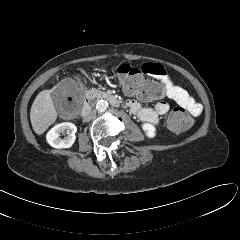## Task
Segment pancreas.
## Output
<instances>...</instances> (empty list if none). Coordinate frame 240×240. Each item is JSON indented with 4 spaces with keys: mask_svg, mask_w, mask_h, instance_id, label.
Here are the masks:
<instances>
[{
    "mask_svg": "<svg viewBox=\"0 0 240 240\" xmlns=\"http://www.w3.org/2000/svg\"><path fill=\"white\" fill-rule=\"evenodd\" d=\"M101 92L98 91L97 89H91V90H88L86 93H85V96L86 98H92L94 96H97L99 95Z\"/></svg>",
    "mask_w": 240,
    "mask_h": 240,
    "instance_id": "cf45deb5",
    "label": "pancreas"
}]
</instances>
